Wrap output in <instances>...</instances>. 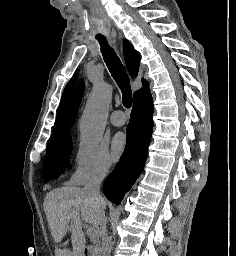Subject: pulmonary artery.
<instances>
[{
	"label": "pulmonary artery",
	"mask_w": 236,
	"mask_h": 256,
	"mask_svg": "<svg viewBox=\"0 0 236 256\" xmlns=\"http://www.w3.org/2000/svg\"><path fill=\"white\" fill-rule=\"evenodd\" d=\"M119 112H114L111 116H110V122L115 125V126H122L125 124L126 119L125 118H120L117 116Z\"/></svg>",
	"instance_id": "1"
}]
</instances>
